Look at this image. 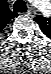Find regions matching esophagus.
<instances>
[{
  "label": "esophagus",
  "mask_w": 51,
  "mask_h": 74,
  "mask_svg": "<svg viewBox=\"0 0 51 74\" xmlns=\"http://www.w3.org/2000/svg\"><path fill=\"white\" fill-rule=\"evenodd\" d=\"M35 13H36V12H35V11H32V10H28V11H27V14L30 15V16H32V14H35Z\"/></svg>",
  "instance_id": "esophagus-1"
}]
</instances>
